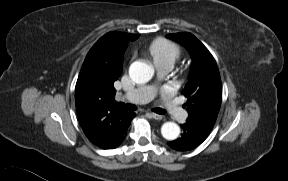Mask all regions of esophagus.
Segmentation results:
<instances>
[{
    "instance_id": "34e87169",
    "label": "esophagus",
    "mask_w": 288,
    "mask_h": 181,
    "mask_svg": "<svg viewBox=\"0 0 288 181\" xmlns=\"http://www.w3.org/2000/svg\"><path fill=\"white\" fill-rule=\"evenodd\" d=\"M152 117L156 120L163 119V115L157 114V113H151Z\"/></svg>"
}]
</instances>
